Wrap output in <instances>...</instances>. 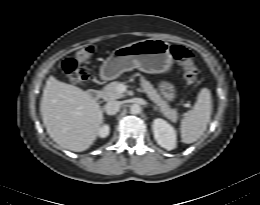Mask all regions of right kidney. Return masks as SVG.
<instances>
[{
  "instance_id": "obj_1",
  "label": "right kidney",
  "mask_w": 260,
  "mask_h": 205,
  "mask_svg": "<svg viewBox=\"0 0 260 205\" xmlns=\"http://www.w3.org/2000/svg\"><path fill=\"white\" fill-rule=\"evenodd\" d=\"M110 133V127L108 124H104L99 130V136L101 138H106Z\"/></svg>"
}]
</instances>
